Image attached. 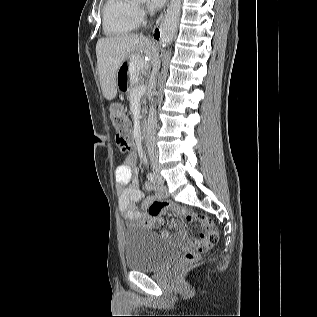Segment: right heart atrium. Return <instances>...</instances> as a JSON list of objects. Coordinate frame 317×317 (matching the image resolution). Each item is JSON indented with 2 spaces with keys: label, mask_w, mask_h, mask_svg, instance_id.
Masks as SVG:
<instances>
[{
  "label": "right heart atrium",
  "mask_w": 317,
  "mask_h": 317,
  "mask_svg": "<svg viewBox=\"0 0 317 317\" xmlns=\"http://www.w3.org/2000/svg\"><path fill=\"white\" fill-rule=\"evenodd\" d=\"M135 13H136L137 20L140 23L145 17V11L141 7H136L135 8Z\"/></svg>",
  "instance_id": "1"
}]
</instances>
